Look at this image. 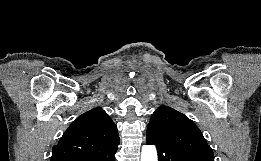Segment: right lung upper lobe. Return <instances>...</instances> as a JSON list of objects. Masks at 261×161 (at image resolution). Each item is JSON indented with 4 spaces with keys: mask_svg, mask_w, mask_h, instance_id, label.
I'll list each match as a JSON object with an SVG mask.
<instances>
[{
    "mask_svg": "<svg viewBox=\"0 0 261 161\" xmlns=\"http://www.w3.org/2000/svg\"><path fill=\"white\" fill-rule=\"evenodd\" d=\"M119 145L117 127L101 108L78 117L54 145L51 161H69L79 156L107 151Z\"/></svg>",
    "mask_w": 261,
    "mask_h": 161,
    "instance_id": "obj_1",
    "label": "right lung upper lobe"
}]
</instances>
